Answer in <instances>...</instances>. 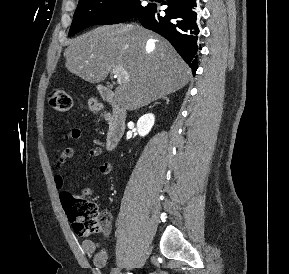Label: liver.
Returning <instances> with one entry per match:
<instances>
[{"instance_id":"1","label":"liver","mask_w":289,"mask_h":274,"mask_svg":"<svg viewBox=\"0 0 289 274\" xmlns=\"http://www.w3.org/2000/svg\"><path fill=\"white\" fill-rule=\"evenodd\" d=\"M65 66L99 83L120 66L128 79L115 91L126 110H136L187 85L191 70L170 43L136 25L101 26L69 41Z\"/></svg>"}]
</instances>
